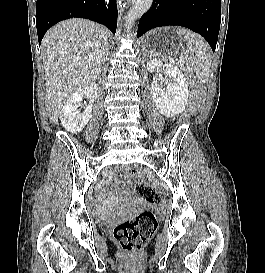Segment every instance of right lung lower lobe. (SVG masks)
Here are the masks:
<instances>
[{
  "label": "right lung lower lobe",
  "instance_id": "obj_1",
  "mask_svg": "<svg viewBox=\"0 0 265 273\" xmlns=\"http://www.w3.org/2000/svg\"><path fill=\"white\" fill-rule=\"evenodd\" d=\"M116 0H37L36 26L39 43L57 22L80 17L101 23L112 33L117 27Z\"/></svg>",
  "mask_w": 265,
  "mask_h": 273
}]
</instances>
